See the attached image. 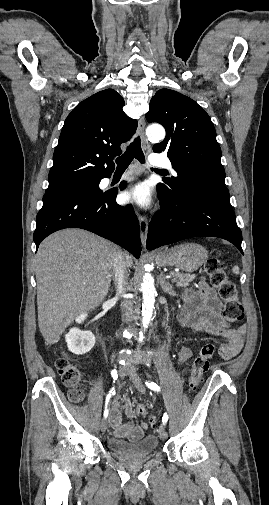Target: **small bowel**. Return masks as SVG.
Segmentation results:
<instances>
[{
    "mask_svg": "<svg viewBox=\"0 0 269 505\" xmlns=\"http://www.w3.org/2000/svg\"><path fill=\"white\" fill-rule=\"evenodd\" d=\"M221 302L215 291L201 280L196 290H191L184 295V304L180 312V322L183 326L192 328L198 333H207L225 339L219 349V355L225 360L235 357L241 350L244 340V327L227 329L221 316ZM193 354V346L183 347L178 356V362H186ZM122 405L129 422L123 423L120 405L115 403L110 411V425L113 435L118 438H127L131 441L139 439L147 424L136 425L133 421L134 411L127 397H123Z\"/></svg>",
    "mask_w": 269,
    "mask_h": 505,
    "instance_id": "1",
    "label": "small bowel"
}]
</instances>
